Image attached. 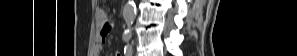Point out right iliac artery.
<instances>
[{
  "instance_id": "82829eb1",
  "label": "right iliac artery",
  "mask_w": 297,
  "mask_h": 56,
  "mask_svg": "<svg viewBox=\"0 0 297 56\" xmlns=\"http://www.w3.org/2000/svg\"><path fill=\"white\" fill-rule=\"evenodd\" d=\"M122 38H123V40H124L125 42H127V41H129V39L131 38V35L128 34V33H124L123 36H122Z\"/></svg>"
}]
</instances>
